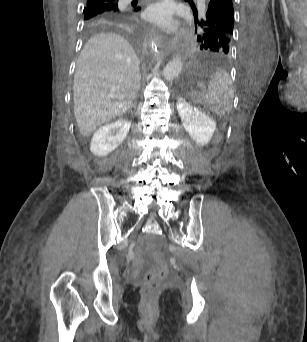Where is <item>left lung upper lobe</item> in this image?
I'll return each mask as SVG.
<instances>
[{
  "label": "left lung upper lobe",
  "mask_w": 307,
  "mask_h": 342,
  "mask_svg": "<svg viewBox=\"0 0 307 342\" xmlns=\"http://www.w3.org/2000/svg\"><path fill=\"white\" fill-rule=\"evenodd\" d=\"M186 1L194 12L196 47L203 51L228 54L234 28L232 0H206L208 8L199 17L192 0Z\"/></svg>",
  "instance_id": "1"
}]
</instances>
